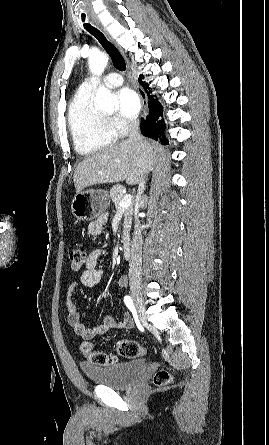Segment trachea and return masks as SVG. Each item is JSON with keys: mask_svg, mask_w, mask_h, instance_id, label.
<instances>
[{"mask_svg": "<svg viewBox=\"0 0 269 445\" xmlns=\"http://www.w3.org/2000/svg\"><path fill=\"white\" fill-rule=\"evenodd\" d=\"M81 18H82V22H84V24H83L84 28L90 34H92L99 41V43L102 45V47L109 53V55L112 59L113 65L118 70L124 71L126 69V64H125V61H124L122 55L118 51V49L111 42H109L106 39V37L100 30L93 27L89 23H85V15H82Z\"/></svg>", "mask_w": 269, "mask_h": 445, "instance_id": "3493384b", "label": "trachea"}]
</instances>
